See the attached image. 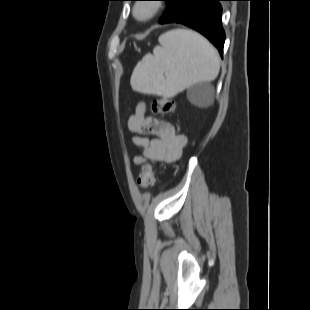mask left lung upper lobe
Here are the masks:
<instances>
[{
	"label": "left lung upper lobe",
	"mask_w": 310,
	"mask_h": 310,
	"mask_svg": "<svg viewBox=\"0 0 310 310\" xmlns=\"http://www.w3.org/2000/svg\"><path fill=\"white\" fill-rule=\"evenodd\" d=\"M167 3V9L160 20L161 24L171 23L184 6L186 0H161Z\"/></svg>",
	"instance_id": "1"
}]
</instances>
